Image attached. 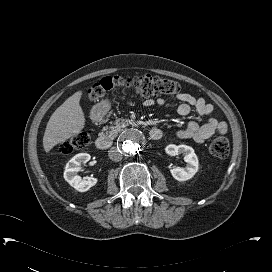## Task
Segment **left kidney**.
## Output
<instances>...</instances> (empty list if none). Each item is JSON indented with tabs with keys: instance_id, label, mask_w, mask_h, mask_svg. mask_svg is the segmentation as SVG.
Instances as JSON below:
<instances>
[{
	"instance_id": "5707ae66",
	"label": "left kidney",
	"mask_w": 272,
	"mask_h": 272,
	"mask_svg": "<svg viewBox=\"0 0 272 272\" xmlns=\"http://www.w3.org/2000/svg\"><path fill=\"white\" fill-rule=\"evenodd\" d=\"M169 155L183 154L184 161L187 163L186 167H174L170 170L172 176L177 181H186L191 179L198 171L199 161L194 152V149L187 145H173L170 144L165 148Z\"/></svg>"
}]
</instances>
